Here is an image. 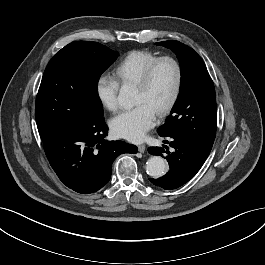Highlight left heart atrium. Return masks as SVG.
Masks as SVG:
<instances>
[{
  "label": "left heart atrium",
  "instance_id": "39dd6f15",
  "mask_svg": "<svg viewBox=\"0 0 265 265\" xmlns=\"http://www.w3.org/2000/svg\"><path fill=\"white\" fill-rule=\"evenodd\" d=\"M155 122L156 113L147 105L138 104L115 116L111 120L110 126L116 136L131 142H141Z\"/></svg>",
  "mask_w": 265,
  "mask_h": 265
}]
</instances>
